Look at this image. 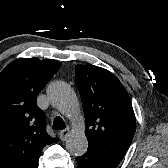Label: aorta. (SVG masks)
<instances>
[{"label": "aorta", "instance_id": "1", "mask_svg": "<svg viewBox=\"0 0 168 168\" xmlns=\"http://www.w3.org/2000/svg\"><path fill=\"white\" fill-rule=\"evenodd\" d=\"M47 96L51 104L63 115L67 116L75 129L66 140L67 150L74 156L83 155L88 148V140L83 131V119L80 114V105L73 88L64 82H53L47 89ZM79 125V128H77Z\"/></svg>", "mask_w": 168, "mask_h": 168}]
</instances>
